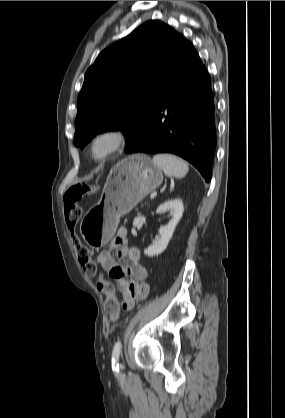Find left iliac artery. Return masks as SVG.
<instances>
[{"instance_id":"left-iliac-artery-1","label":"left iliac artery","mask_w":285,"mask_h":418,"mask_svg":"<svg viewBox=\"0 0 285 418\" xmlns=\"http://www.w3.org/2000/svg\"><path fill=\"white\" fill-rule=\"evenodd\" d=\"M122 348L121 341H117L114 345L112 352V370L117 374L119 373V356Z\"/></svg>"}]
</instances>
